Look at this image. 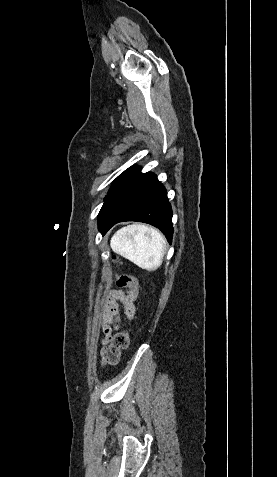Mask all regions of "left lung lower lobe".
<instances>
[{
	"label": "left lung lower lobe",
	"instance_id": "left-lung-lower-lobe-1",
	"mask_svg": "<svg viewBox=\"0 0 277 477\" xmlns=\"http://www.w3.org/2000/svg\"><path fill=\"white\" fill-rule=\"evenodd\" d=\"M123 221L151 224L161 230L171 244L172 209L156 175L131 167L114 181L98 214L99 231L104 235Z\"/></svg>",
	"mask_w": 277,
	"mask_h": 477
}]
</instances>
